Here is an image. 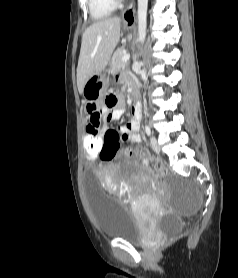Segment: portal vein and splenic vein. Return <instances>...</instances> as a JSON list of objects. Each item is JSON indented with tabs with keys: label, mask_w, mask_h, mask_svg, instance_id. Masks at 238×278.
<instances>
[{
	"label": "portal vein and splenic vein",
	"mask_w": 238,
	"mask_h": 278,
	"mask_svg": "<svg viewBox=\"0 0 238 278\" xmlns=\"http://www.w3.org/2000/svg\"><path fill=\"white\" fill-rule=\"evenodd\" d=\"M129 59H130V54L126 53L122 58V62H127Z\"/></svg>",
	"instance_id": "1"
}]
</instances>
